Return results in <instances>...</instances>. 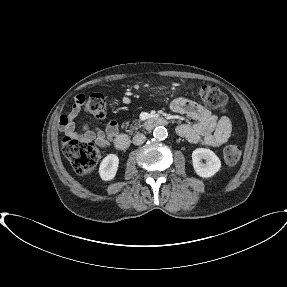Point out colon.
<instances>
[{"label": "colon", "mask_w": 287, "mask_h": 287, "mask_svg": "<svg viewBox=\"0 0 287 287\" xmlns=\"http://www.w3.org/2000/svg\"><path fill=\"white\" fill-rule=\"evenodd\" d=\"M201 101L210 109L224 112L227 109V96L214 85H204L200 89ZM76 102L86 113L94 118H102L106 112V98L101 93H93L89 96H78ZM63 150L71 160L75 171L80 175H86L93 171L99 158V148L77 134H65L62 139ZM241 148L231 144L223 151L224 159L229 165H235L241 158Z\"/></svg>", "instance_id": "5ec220e1"}]
</instances>
